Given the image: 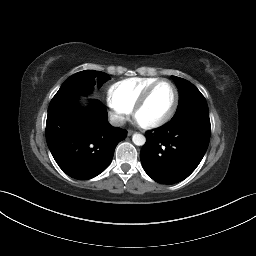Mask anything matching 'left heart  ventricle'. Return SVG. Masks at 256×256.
<instances>
[{
	"label": "left heart ventricle",
	"instance_id": "left-heart-ventricle-1",
	"mask_svg": "<svg viewBox=\"0 0 256 256\" xmlns=\"http://www.w3.org/2000/svg\"><path fill=\"white\" fill-rule=\"evenodd\" d=\"M174 99V91L168 83L158 85L150 95L146 104L137 114V120L149 123L162 118L170 109Z\"/></svg>",
	"mask_w": 256,
	"mask_h": 256
}]
</instances>
